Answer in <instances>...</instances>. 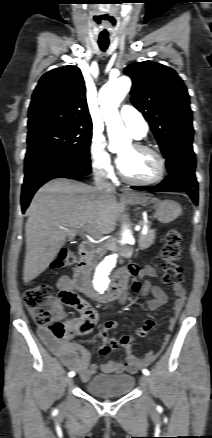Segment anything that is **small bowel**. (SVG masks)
I'll list each match as a JSON object with an SVG mask.
<instances>
[{"mask_svg":"<svg viewBox=\"0 0 212 438\" xmlns=\"http://www.w3.org/2000/svg\"><path fill=\"white\" fill-rule=\"evenodd\" d=\"M137 276L140 279L152 278L158 279V273L155 267L147 265L143 268H138L135 265H129L121 270L118 277L125 283L128 277ZM73 282L68 276H61L57 281V289L59 296L65 292L73 291ZM134 293L140 296H145L151 293L154 299L143 303V307L147 310H155L168 301V296L165 290L156 284H153L149 280H146L143 284L134 282L132 285ZM174 294L176 296L173 305V315L169 320V331H172L175 327L176 320L184 306L186 300V290L183 285H175L173 287ZM81 315L79 319H70L62 322L67 331V335L76 331L79 328H85V333H90L94 330L97 312L86 301L78 298V301L72 305ZM55 319L61 321L65 318L66 312L63 306L55 305ZM115 321H108L104 325L103 330V343L100 347V354L107 355L110 351L116 349L119 345L126 351V358L124 360L110 359L102 362L99 366L97 364H90V354L86 352L80 345L68 341L66 338L58 339L47 329L40 328L39 335L44 343L54 352L65 366L71 370H75L83 381H88L93 375H95L100 369L104 373H122L130 372L136 373L142 367L148 365L151 359H141L137 357L132 350L131 338L124 336L119 339L110 336V332L116 328ZM155 326V321L151 318L145 320V323L136 331L138 337L146 336ZM170 339V334L164 337L161 347L165 346Z\"/></svg>","mask_w":212,"mask_h":438,"instance_id":"1","label":"small bowel"}]
</instances>
